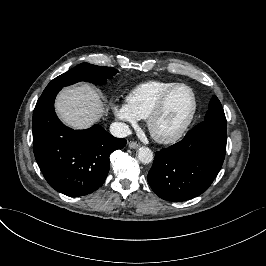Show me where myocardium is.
<instances>
[{
	"label": "myocardium",
	"instance_id": "myocardium-1",
	"mask_svg": "<svg viewBox=\"0 0 266 266\" xmlns=\"http://www.w3.org/2000/svg\"><path fill=\"white\" fill-rule=\"evenodd\" d=\"M179 87H186L190 90V92L192 93L193 96V110L192 113L189 117V119L187 120V122L184 124V126L178 130L176 133L169 135V136H165V135H160L158 133L155 132L154 128H153V124L154 121L156 120V118L163 112L166 103L168 101V99L171 97V95L174 93V91L176 89H178ZM198 109H199V101H198V97H197V93L195 91V89L184 82H179L176 85H174L173 87H171L170 89H168L158 100V102L156 103V105L154 106V108L151 110V112L149 113L148 117H147V127L148 130L151 134V136L158 142L160 143H164V144H169V143H174L177 142L180 138H182L184 136V134L189 130V128L192 126L196 115L198 113Z\"/></svg>",
	"mask_w": 266,
	"mask_h": 266
}]
</instances>
